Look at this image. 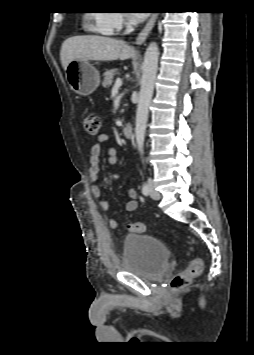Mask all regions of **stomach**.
Here are the masks:
<instances>
[{
    "mask_svg": "<svg viewBox=\"0 0 254 355\" xmlns=\"http://www.w3.org/2000/svg\"><path fill=\"white\" fill-rule=\"evenodd\" d=\"M66 78L71 89L83 96L90 95L99 86L98 70L88 60H73L66 68Z\"/></svg>",
    "mask_w": 254,
    "mask_h": 355,
    "instance_id": "0dacf381",
    "label": "stomach"
}]
</instances>
